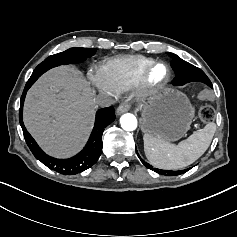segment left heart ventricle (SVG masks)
<instances>
[{
	"label": "left heart ventricle",
	"instance_id": "left-heart-ventricle-1",
	"mask_svg": "<svg viewBox=\"0 0 237 237\" xmlns=\"http://www.w3.org/2000/svg\"><path fill=\"white\" fill-rule=\"evenodd\" d=\"M165 75H166V69L164 68V66L158 65L152 70L150 78L152 81L158 82L162 80L165 77Z\"/></svg>",
	"mask_w": 237,
	"mask_h": 237
}]
</instances>
